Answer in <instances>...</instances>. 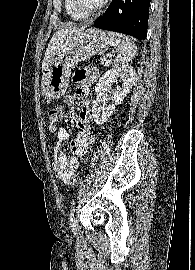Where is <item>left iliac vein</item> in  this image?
<instances>
[{
    "instance_id": "obj_1",
    "label": "left iliac vein",
    "mask_w": 195,
    "mask_h": 270,
    "mask_svg": "<svg viewBox=\"0 0 195 270\" xmlns=\"http://www.w3.org/2000/svg\"><path fill=\"white\" fill-rule=\"evenodd\" d=\"M70 226H71V230L73 232H76L77 231V221L75 219H73V221H71Z\"/></svg>"
}]
</instances>
